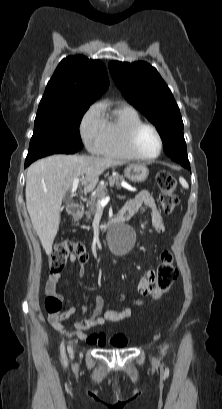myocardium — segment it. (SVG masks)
<instances>
[{"label":"myocardium","instance_id":"obj_1","mask_svg":"<svg viewBox=\"0 0 222 409\" xmlns=\"http://www.w3.org/2000/svg\"><path fill=\"white\" fill-rule=\"evenodd\" d=\"M144 128H149L151 129L157 136L158 138V142H159V149L158 152L153 155V156H145L143 154H141L137 148V137L139 135V133L144 129ZM127 144H128V148L130 150V152L137 158L143 161H151V160H155L157 159L162 151H163V138L162 135L160 133V131L157 129L156 126H154L153 124L150 123H139L137 125H135L129 132L128 134V138H127Z\"/></svg>","mask_w":222,"mask_h":409}]
</instances>
